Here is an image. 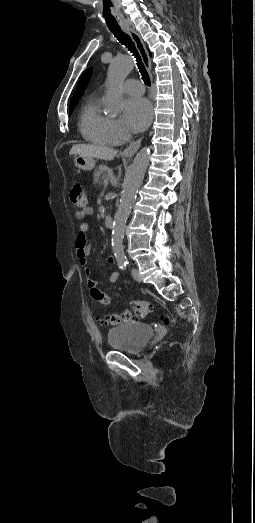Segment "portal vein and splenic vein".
<instances>
[{"mask_svg":"<svg viewBox=\"0 0 255 523\" xmlns=\"http://www.w3.org/2000/svg\"><path fill=\"white\" fill-rule=\"evenodd\" d=\"M110 183V177H107L103 180V187H108V184Z\"/></svg>","mask_w":255,"mask_h":523,"instance_id":"1","label":"portal vein and splenic vein"}]
</instances>
